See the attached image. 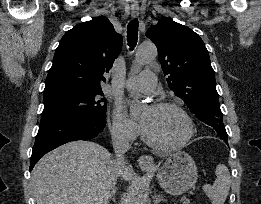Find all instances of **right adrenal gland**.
<instances>
[{"instance_id":"obj_1","label":"right adrenal gland","mask_w":261,"mask_h":204,"mask_svg":"<svg viewBox=\"0 0 261 204\" xmlns=\"http://www.w3.org/2000/svg\"><path fill=\"white\" fill-rule=\"evenodd\" d=\"M115 194H116V188H112V191L109 195V198H108V201H107V204H109L110 200L112 199L113 201H115Z\"/></svg>"}]
</instances>
